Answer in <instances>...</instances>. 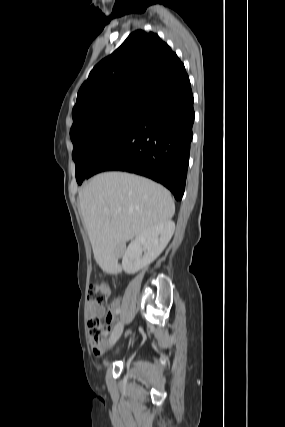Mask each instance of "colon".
Listing matches in <instances>:
<instances>
[{
  "label": "colon",
  "instance_id": "obj_1",
  "mask_svg": "<svg viewBox=\"0 0 285 427\" xmlns=\"http://www.w3.org/2000/svg\"><path fill=\"white\" fill-rule=\"evenodd\" d=\"M112 290L111 284L105 280L92 282L88 289V297L93 302L104 304ZM89 334L95 352L101 353L107 343L109 327L100 323L99 319H93L89 323Z\"/></svg>",
  "mask_w": 285,
  "mask_h": 427
}]
</instances>
